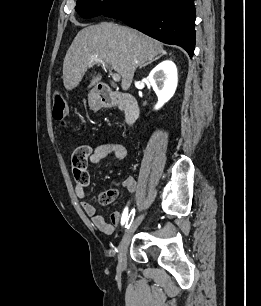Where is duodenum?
I'll use <instances>...</instances> for the list:
<instances>
[{"label":"duodenum","instance_id":"obj_1","mask_svg":"<svg viewBox=\"0 0 261 306\" xmlns=\"http://www.w3.org/2000/svg\"><path fill=\"white\" fill-rule=\"evenodd\" d=\"M96 99L104 107L118 106L123 111L128 125L133 124L139 117L138 102L130 94L114 92L108 85L99 84L96 89Z\"/></svg>","mask_w":261,"mask_h":306}]
</instances>
